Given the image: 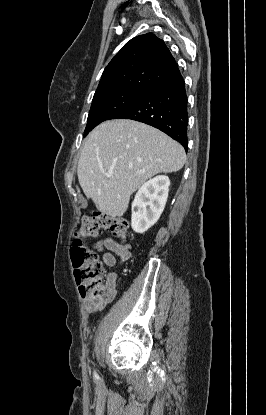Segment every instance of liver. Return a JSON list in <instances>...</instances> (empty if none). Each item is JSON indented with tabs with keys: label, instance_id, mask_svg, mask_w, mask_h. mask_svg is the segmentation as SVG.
<instances>
[{
	"label": "liver",
	"instance_id": "obj_1",
	"mask_svg": "<svg viewBox=\"0 0 266 415\" xmlns=\"http://www.w3.org/2000/svg\"><path fill=\"white\" fill-rule=\"evenodd\" d=\"M185 161L183 147L165 133L134 120L115 119L101 123L87 136L77 176L99 211L121 217L131 194L146 180L158 173L177 172Z\"/></svg>",
	"mask_w": 266,
	"mask_h": 415
}]
</instances>
